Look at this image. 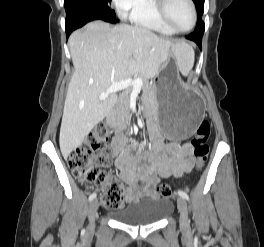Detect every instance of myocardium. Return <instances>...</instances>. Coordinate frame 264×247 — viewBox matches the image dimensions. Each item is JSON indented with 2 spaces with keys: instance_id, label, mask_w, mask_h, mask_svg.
<instances>
[{
  "instance_id": "myocardium-1",
  "label": "myocardium",
  "mask_w": 264,
  "mask_h": 247,
  "mask_svg": "<svg viewBox=\"0 0 264 247\" xmlns=\"http://www.w3.org/2000/svg\"><path fill=\"white\" fill-rule=\"evenodd\" d=\"M168 2H169V0H155L156 11H157L159 17L162 19V21L176 33L187 32V31L191 30L195 26L196 21H197V11H196V6H195L194 1L193 0H187V2L189 3V5L191 7V11H192V22H191L189 27L184 28V29L177 28L171 22V20L168 16V12H167Z\"/></svg>"
}]
</instances>
